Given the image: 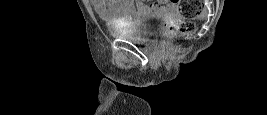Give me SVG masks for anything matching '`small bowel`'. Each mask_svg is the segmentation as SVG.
<instances>
[{
    "mask_svg": "<svg viewBox=\"0 0 267 115\" xmlns=\"http://www.w3.org/2000/svg\"><path fill=\"white\" fill-rule=\"evenodd\" d=\"M94 10L101 16L119 20L140 19L147 13L169 15L177 10L174 3L151 2L143 0H91Z\"/></svg>",
    "mask_w": 267,
    "mask_h": 115,
    "instance_id": "c3829d8e",
    "label": "small bowel"
}]
</instances>
